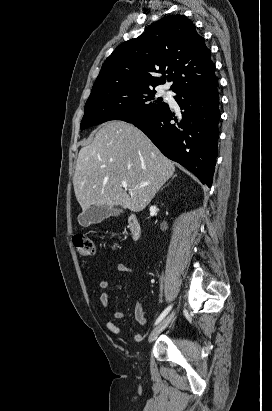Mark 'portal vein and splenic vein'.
<instances>
[{
    "mask_svg": "<svg viewBox=\"0 0 272 411\" xmlns=\"http://www.w3.org/2000/svg\"><path fill=\"white\" fill-rule=\"evenodd\" d=\"M148 183H145V184H143V185H141L140 187H143V186H145V185H147ZM122 186L124 187V188H127V183L126 182H122Z\"/></svg>",
    "mask_w": 272,
    "mask_h": 411,
    "instance_id": "obj_1",
    "label": "portal vein and splenic vein"
}]
</instances>
